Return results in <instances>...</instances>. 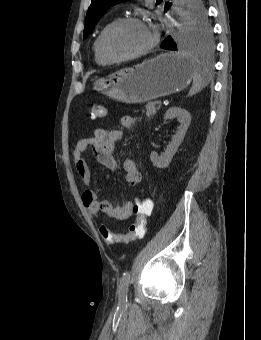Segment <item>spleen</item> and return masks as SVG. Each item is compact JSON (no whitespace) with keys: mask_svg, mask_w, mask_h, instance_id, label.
I'll return each instance as SVG.
<instances>
[{"mask_svg":"<svg viewBox=\"0 0 261 340\" xmlns=\"http://www.w3.org/2000/svg\"><path fill=\"white\" fill-rule=\"evenodd\" d=\"M193 64H194L193 86L189 91L190 95L198 93L208 84L207 72L202 67V65L195 60L193 61Z\"/></svg>","mask_w":261,"mask_h":340,"instance_id":"3e777b00","label":"spleen"}]
</instances>
